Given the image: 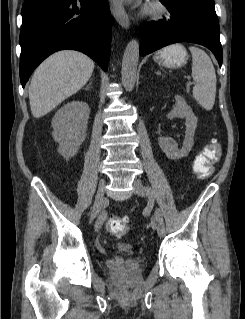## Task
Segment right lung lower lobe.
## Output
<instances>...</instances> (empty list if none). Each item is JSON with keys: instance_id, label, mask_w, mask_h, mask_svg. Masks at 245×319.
<instances>
[{"instance_id": "1", "label": "right lung lower lobe", "mask_w": 245, "mask_h": 319, "mask_svg": "<svg viewBox=\"0 0 245 319\" xmlns=\"http://www.w3.org/2000/svg\"><path fill=\"white\" fill-rule=\"evenodd\" d=\"M20 33V80L62 49L81 51L107 70L111 21L108 0H25Z\"/></svg>"}]
</instances>
